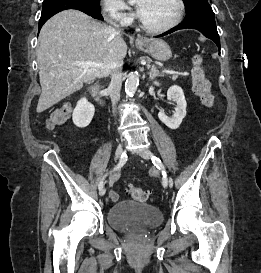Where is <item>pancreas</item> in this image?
Here are the masks:
<instances>
[{
	"label": "pancreas",
	"mask_w": 261,
	"mask_h": 273,
	"mask_svg": "<svg viewBox=\"0 0 261 273\" xmlns=\"http://www.w3.org/2000/svg\"><path fill=\"white\" fill-rule=\"evenodd\" d=\"M172 80H176L177 78H178V75L177 74H174V75H172Z\"/></svg>",
	"instance_id": "obj_1"
}]
</instances>
